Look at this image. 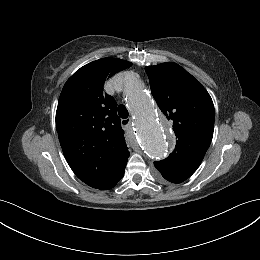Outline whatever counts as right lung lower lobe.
<instances>
[{"label": "right lung lower lobe", "instance_id": "obj_1", "mask_svg": "<svg viewBox=\"0 0 260 260\" xmlns=\"http://www.w3.org/2000/svg\"><path fill=\"white\" fill-rule=\"evenodd\" d=\"M119 180H120V179H119ZM119 180H118V181H119ZM118 181H117V182H118ZM117 182H116V183H117ZM116 183H114V184H112V185H109V186H106V187H104V188H101V190L110 189V188L114 187Z\"/></svg>", "mask_w": 260, "mask_h": 260}]
</instances>
